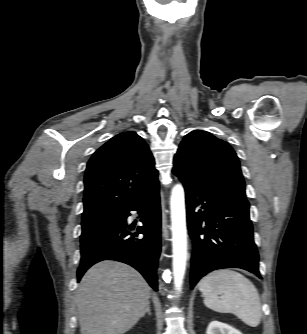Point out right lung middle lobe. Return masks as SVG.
<instances>
[{
	"label": "right lung middle lobe",
	"mask_w": 307,
	"mask_h": 334,
	"mask_svg": "<svg viewBox=\"0 0 307 334\" xmlns=\"http://www.w3.org/2000/svg\"><path fill=\"white\" fill-rule=\"evenodd\" d=\"M116 213H101L82 217L81 243L92 235L113 223L117 218Z\"/></svg>",
	"instance_id": "right-lung-middle-lobe-1"
}]
</instances>
